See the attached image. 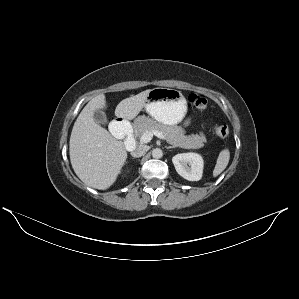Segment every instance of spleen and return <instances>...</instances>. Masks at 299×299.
<instances>
[{"mask_svg": "<svg viewBox=\"0 0 299 299\" xmlns=\"http://www.w3.org/2000/svg\"><path fill=\"white\" fill-rule=\"evenodd\" d=\"M229 160H230V151L228 149H223L218 155L216 165L213 170L214 177H217L226 169Z\"/></svg>", "mask_w": 299, "mask_h": 299, "instance_id": "1", "label": "spleen"}]
</instances>
